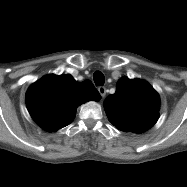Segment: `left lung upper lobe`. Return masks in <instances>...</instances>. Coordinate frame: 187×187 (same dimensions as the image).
I'll list each match as a JSON object with an SVG mask.
<instances>
[{
  "label": "left lung upper lobe",
  "mask_w": 187,
  "mask_h": 187,
  "mask_svg": "<svg viewBox=\"0 0 187 187\" xmlns=\"http://www.w3.org/2000/svg\"><path fill=\"white\" fill-rule=\"evenodd\" d=\"M107 117L121 131L141 133L159 118L160 100L149 83L122 77L116 92L104 101Z\"/></svg>",
  "instance_id": "obj_1"
}]
</instances>
